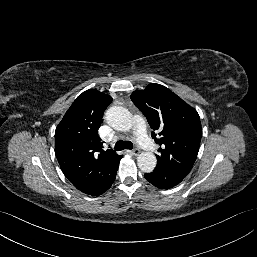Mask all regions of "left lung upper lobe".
I'll return each mask as SVG.
<instances>
[{
  "instance_id": "obj_1",
  "label": "left lung upper lobe",
  "mask_w": 257,
  "mask_h": 257,
  "mask_svg": "<svg viewBox=\"0 0 257 257\" xmlns=\"http://www.w3.org/2000/svg\"><path fill=\"white\" fill-rule=\"evenodd\" d=\"M131 100L146 116L152 138L161 147L157 166L186 177L199 151L202 128L197 111L163 85L151 83L136 90Z\"/></svg>"
}]
</instances>
